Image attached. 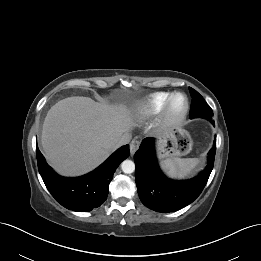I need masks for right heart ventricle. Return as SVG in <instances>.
<instances>
[{
	"mask_svg": "<svg viewBox=\"0 0 261 261\" xmlns=\"http://www.w3.org/2000/svg\"><path fill=\"white\" fill-rule=\"evenodd\" d=\"M170 96L171 93L168 92H157L150 95L139 112V118L146 119L163 110Z\"/></svg>",
	"mask_w": 261,
	"mask_h": 261,
	"instance_id": "1",
	"label": "right heart ventricle"
}]
</instances>
